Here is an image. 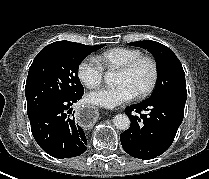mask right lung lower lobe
<instances>
[{"label": "right lung lower lobe", "mask_w": 209, "mask_h": 179, "mask_svg": "<svg viewBox=\"0 0 209 179\" xmlns=\"http://www.w3.org/2000/svg\"><path fill=\"white\" fill-rule=\"evenodd\" d=\"M83 94L51 102L29 117L36 142L49 155L63 159L79 156L87 150L84 131L74 116L69 115L71 106Z\"/></svg>", "instance_id": "obj_1"}]
</instances>
